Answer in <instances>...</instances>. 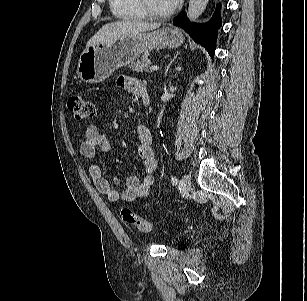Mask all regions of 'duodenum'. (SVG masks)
Returning <instances> with one entry per match:
<instances>
[{
    "mask_svg": "<svg viewBox=\"0 0 307 301\" xmlns=\"http://www.w3.org/2000/svg\"><path fill=\"white\" fill-rule=\"evenodd\" d=\"M138 95L142 98L144 104L147 105L149 103V93L145 87L139 89Z\"/></svg>",
    "mask_w": 307,
    "mask_h": 301,
    "instance_id": "410a0bca",
    "label": "duodenum"
}]
</instances>
